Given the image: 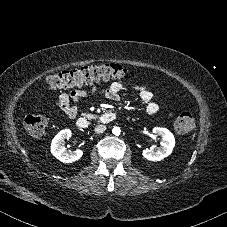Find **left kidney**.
Segmentation results:
<instances>
[{
	"instance_id": "5707ae66",
	"label": "left kidney",
	"mask_w": 227,
	"mask_h": 227,
	"mask_svg": "<svg viewBox=\"0 0 227 227\" xmlns=\"http://www.w3.org/2000/svg\"><path fill=\"white\" fill-rule=\"evenodd\" d=\"M153 133L162 138L161 147L157 150L145 149L142 155L150 161H160L172 153L175 146L174 135L167 129L162 127L153 128Z\"/></svg>"
}]
</instances>
